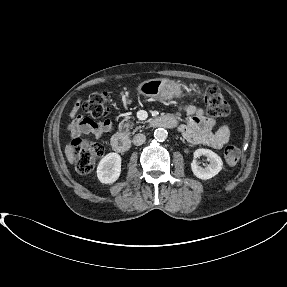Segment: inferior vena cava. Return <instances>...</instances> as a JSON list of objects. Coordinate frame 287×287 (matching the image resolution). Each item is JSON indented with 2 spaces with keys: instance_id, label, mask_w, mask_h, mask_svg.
<instances>
[{
  "instance_id": "inferior-vena-cava-1",
  "label": "inferior vena cava",
  "mask_w": 287,
  "mask_h": 287,
  "mask_svg": "<svg viewBox=\"0 0 287 287\" xmlns=\"http://www.w3.org/2000/svg\"><path fill=\"white\" fill-rule=\"evenodd\" d=\"M146 140V136L144 134H136L134 137H133V144L136 145V146H139V145H142Z\"/></svg>"
}]
</instances>
